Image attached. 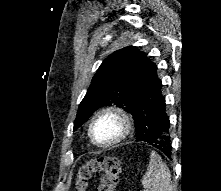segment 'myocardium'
<instances>
[{
    "label": "myocardium",
    "instance_id": "obj_1",
    "mask_svg": "<svg viewBox=\"0 0 221 191\" xmlns=\"http://www.w3.org/2000/svg\"><path fill=\"white\" fill-rule=\"evenodd\" d=\"M105 116L115 117L119 121L120 132L111 141L100 143L94 137V126L98 120H100L102 117H105ZM131 130H132V118L130 114L121 107L107 106V107L101 108L93 115L89 123L88 135L93 144L97 145L98 147L107 148V147L114 146L124 141L130 134Z\"/></svg>",
    "mask_w": 221,
    "mask_h": 191
}]
</instances>
